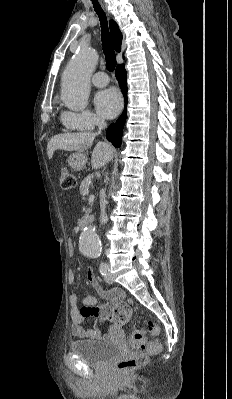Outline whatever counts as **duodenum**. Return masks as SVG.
<instances>
[{
    "mask_svg": "<svg viewBox=\"0 0 232 399\" xmlns=\"http://www.w3.org/2000/svg\"><path fill=\"white\" fill-rule=\"evenodd\" d=\"M87 223H88L87 218H82V219L80 220V227H81L82 229L85 228V227L87 226Z\"/></svg>",
    "mask_w": 232,
    "mask_h": 399,
    "instance_id": "obj_1",
    "label": "duodenum"
}]
</instances>
